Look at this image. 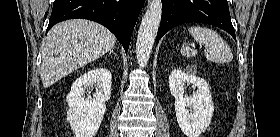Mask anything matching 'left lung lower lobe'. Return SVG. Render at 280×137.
Listing matches in <instances>:
<instances>
[{"instance_id": "0a47b994", "label": "left lung lower lobe", "mask_w": 280, "mask_h": 137, "mask_svg": "<svg viewBox=\"0 0 280 137\" xmlns=\"http://www.w3.org/2000/svg\"><path fill=\"white\" fill-rule=\"evenodd\" d=\"M162 5L157 40L173 27L187 22L217 26L236 39L227 0H162Z\"/></svg>"}]
</instances>
